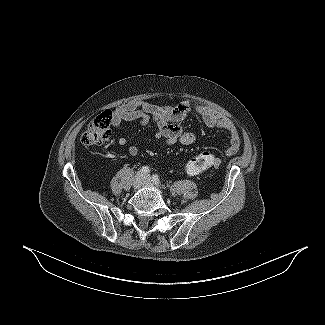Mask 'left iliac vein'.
Here are the masks:
<instances>
[{
    "mask_svg": "<svg viewBox=\"0 0 325 325\" xmlns=\"http://www.w3.org/2000/svg\"><path fill=\"white\" fill-rule=\"evenodd\" d=\"M145 181H144V185L145 186H153V184L151 183V180H150V176L149 175H145Z\"/></svg>",
    "mask_w": 325,
    "mask_h": 325,
    "instance_id": "4c4485c4",
    "label": "left iliac vein"
}]
</instances>
